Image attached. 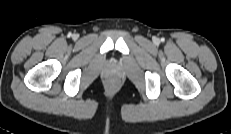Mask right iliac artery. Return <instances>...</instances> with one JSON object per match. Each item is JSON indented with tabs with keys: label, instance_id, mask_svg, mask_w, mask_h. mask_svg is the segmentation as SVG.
<instances>
[{
	"label": "right iliac artery",
	"instance_id": "1",
	"mask_svg": "<svg viewBox=\"0 0 231 134\" xmlns=\"http://www.w3.org/2000/svg\"><path fill=\"white\" fill-rule=\"evenodd\" d=\"M71 35H72L71 33L68 34L69 37H70Z\"/></svg>",
	"mask_w": 231,
	"mask_h": 134
}]
</instances>
